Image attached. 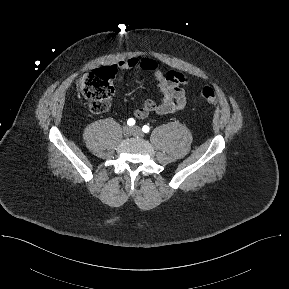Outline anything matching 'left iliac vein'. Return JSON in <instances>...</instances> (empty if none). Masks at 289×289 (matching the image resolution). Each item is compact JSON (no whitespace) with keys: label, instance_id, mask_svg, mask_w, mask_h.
<instances>
[{"label":"left iliac vein","instance_id":"4c4485c4","mask_svg":"<svg viewBox=\"0 0 289 289\" xmlns=\"http://www.w3.org/2000/svg\"><path fill=\"white\" fill-rule=\"evenodd\" d=\"M132 130H133V135H134V136L140 137V138L144 136V134H143V132L141 131L140 127L134 126V127L132 128Z\"/></svg>","mask_w":289,"mask_h":289}]
</instances>
